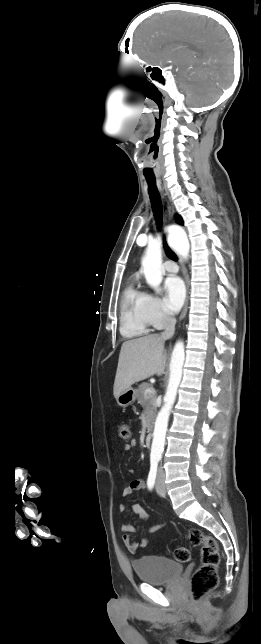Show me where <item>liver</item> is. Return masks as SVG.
I'll use <instances>...</instances> for the list:
<instances>
[{"instance_id":"obj_1","label":"liver","mask_w":261,"mask_h":644,"mask_svg":"<svg viewBox=\"0 0 261 644\" xmlns=\"http://www.w3.org/2000/svg\"><path fill=\"white\" fill-rule=\"evenodd\" d=\"M165 339L158 334L125 341L120 350L113 394L117 398L132 384L165 370Z\"/></svg>"}]
</instances>
